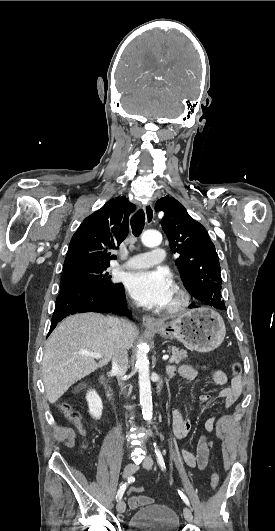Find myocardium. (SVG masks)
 <instances>
[{
	"label": "myocardium",
	"instance_id": "myocardium-1",
	"mask_svg": "<svg viewBox=\"0 0 275 531\" xmlns=\"http://www.w3.org/2000/svg\"><path fill=\"white\" fill-rule=\"evenodd\" d=\"M173 291L175 293V299L164 307V312L167 314H176L182 311L189 302L188 293L181 285L175 283L173 285Z\"/></svg>",
	"mask_w": 275,
	"mask_h": 531
}]
</instances>
